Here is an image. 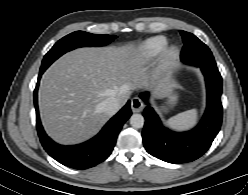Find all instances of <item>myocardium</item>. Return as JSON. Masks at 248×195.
<instances>
[{
    "instance_id": "obj_1",
    "label": "myocardium",
    "mask_w": 248,
    "mask_h": 195,
    "mask_svg": "<svg viewBox=\"0 0 248 195\" xmlns=\"http://www.w3.org/2000/svg\"><path fill=\"white\" fill-rule=\"evenodd\" d=\"M180 50L177 46H169L165 49L162 61L165 65H171L176 62V60L179 58Z\"/></svg>"
}]
</instances>
